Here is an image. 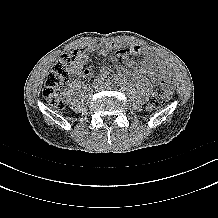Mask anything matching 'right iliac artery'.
<instances>
[{"instance_id": "right-iliac-artery-1", "label": "right iliac artery", "mask_w": 218, "mask_h": 218, "mask_svg": "<svg viewBox=\"0 0 218 218\" xmlns=\"http://www.w3.org/2000/svg\"><path fill=\"white\" fill-rule=\"evenodd\" d=\"M101 79L103 80L104 78H101ZM101 79H100V80H98V81L96 82V84H97V83H100V82H102V80H101Z\"/></svg>"}]
</instances>
